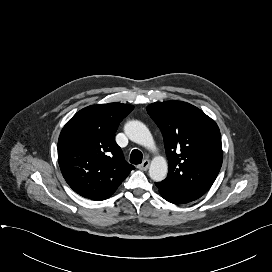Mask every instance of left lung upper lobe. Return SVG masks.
<instances>
[{
    "label": "left lung upper lobe",
    "instance_id": "obj_1",
    "mask_svg": "<svg viewBox=\"0 0 272 272\" xmlns=\"http://www.w3.org/2000/svg\"><path fill=\"white\" fill-rule=\"evenodd\" d=\"M146 110L162 132L169 160L168 176L160 187L170 195L205 194L223 160L217 124L197 107L182 101L156 102Z\"/></svg>",
    "mask_w": 272,
    "mask_h": 272
}]
</instances>
